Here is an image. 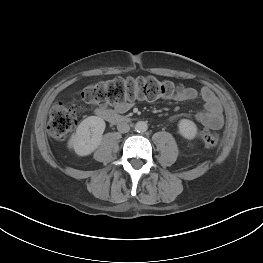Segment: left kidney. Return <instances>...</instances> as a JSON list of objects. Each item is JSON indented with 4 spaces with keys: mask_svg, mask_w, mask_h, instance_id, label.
Returning <instances> with one entry per match:
<instances>
[{
    "mask_svg": "<svg viewBox=\"0 0 263 263\" xmlns=\"http://www.w3.org/2000/svg\"><path fill=\"white\" fill-rule=\"evenodd\" d=\"M179 133L186 139H193L197 135L196 124L188 119H182L178 123Z\"/></svg>",
    "mask_w": 263,
    "mask_h": 263,
    "instance_id": "1",
    "label": "left kidney"
}]
</instances>
